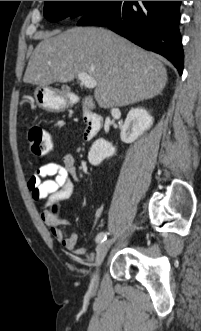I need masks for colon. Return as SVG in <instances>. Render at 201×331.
I'll return each instance as SVG.
<instances>
[{"mask_svg": "<svg viewBox=\"0 0 201 331\" xmlns=\"http://www.w3.org/2000/svg\"><path fill=\"white\" fill-rule=\"evenodd\" d=\"M28 144L35 156L43 157L51 151L53 140L48 131L34 126L28 132Z\"/></svg>", "mask_w": 201, "mask_h": 331, "instance_id": "obj_1", "label": "colon"}]
</instances>
